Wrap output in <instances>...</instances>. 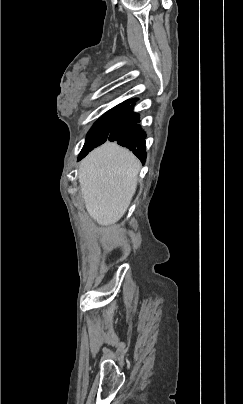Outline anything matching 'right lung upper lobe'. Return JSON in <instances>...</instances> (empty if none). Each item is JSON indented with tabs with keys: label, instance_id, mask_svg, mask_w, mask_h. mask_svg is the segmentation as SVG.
Masks as SVG:
<instances>
[{
	"label": "right lung upper lobe",
	"instance_id": "obj_1",
	"mask_svg": "<svg viewBox=\"0 0 243 404\" xmlns=\"http://www.w3.org/2000/svg\"><path fill=\"white\" fill-rule=\"evenodd\" d=\"M136 101V99H132V100H127L125 103H123V104H125V105H129V103H132V102H135Z\"/></svg>",
	"mask_w": 243,
	"mask_h": 404
}]
</instances>
